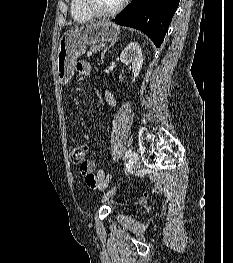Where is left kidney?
<instances>
[{"mask_svg":"<svg viewBox=\"0 0 233 263\" xmlns=\"http://www.w3.org/2000/svg\"><path fill=\"white\" fill-rule=\"evenodd\" d=\"M120 61L129 66L132 69L134 79L132 82H135V79L138 77L142 64H143V55L140 46L136 42L129 43L120 55Z\"/></svg>","mask_w":233,"mask_h":263,"instance_id":"left-kidney-1","label":"left kidney"}]
</instances>
